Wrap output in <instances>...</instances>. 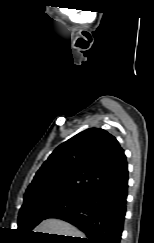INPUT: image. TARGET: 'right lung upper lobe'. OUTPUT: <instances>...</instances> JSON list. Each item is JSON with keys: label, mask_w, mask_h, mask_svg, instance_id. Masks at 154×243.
<instances>
[{"label": "right lung upper lobe", "mask_w": 154, "mask_h": 243, "mask_svg": "<svg viewBox=\"0 0 154 243\" xmlns=\"http://www.w3.org/2000/svg\"><path fill=\"white\" fill-rule=\"evenodd\" d=\"M126 169V156L116 138L90 128L53 151L28 186L24 203L56 195L87 198Z\"/></svg>", "instance_id": "right-lung-upper-lobe-1"}]
</instances>
